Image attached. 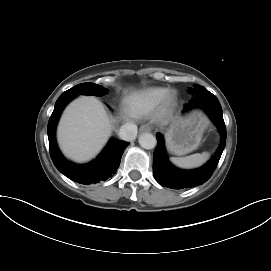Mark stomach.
Listing matches in <instances>:
<instances>
[{
    "label": "stomach",
    "mask_w": 271,
    "mask_h": 271,
    "mask_svg": "<svg viewBox=\"0 0 271 271\" xmlns=\"http://www.w3.org/2000/svg\"><path fill=\"white\" fill-rule=\"evenodd\" d=\"M209 120L200 110H193L187 116L173 122L166 133V146L174 155H185L197 149L201 143Z\"/></svg>",
    "instance_id": "stomach-1"
}]
</instances>
